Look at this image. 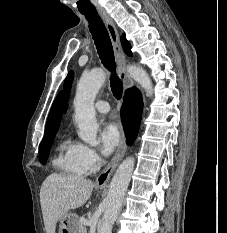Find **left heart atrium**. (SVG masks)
Returning a JSON list of instances; mask_svg holds the SVG:
<instances>
[{"label":"left heart atrium","mask_w":227,"mask_h":233,"mask_svg":"<svg viewBox=\"0 0 227 233\" xmlns=\"http://www.w3.org/2000/svg\"><path fill=\"white\" fill-rule=\"evenodd\" d=\"M101 150L105 156L110 155L121 141V134L114 122L106 123L100 133Z\"/></svg>","instance_id":"39dd6f15"}]
</instances>
